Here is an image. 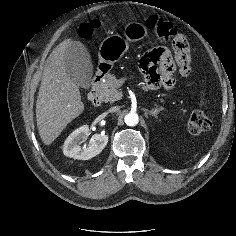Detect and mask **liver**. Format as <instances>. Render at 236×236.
Masks as SVG:
<instances>
[{
	"mask_svg": "<svg viewBox=\"0 0 236 236\" xmlns=\"http://www.w3.org/2000/svg\"><path fill=\"white\" fill-rule=\"evenodd\" d=\"M73 43L66 39L50 53L43 70L36 101V121L39 135L50 145L66 126L84 111L81 94L65 69V55Z\"/></svg>",
	"mask_w": 236,
	"mask_h": 236,
	"instance_id": "1",
	"label": "liver"
}]
</instances>
